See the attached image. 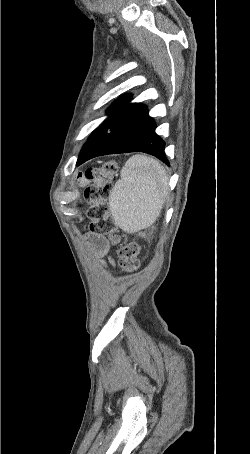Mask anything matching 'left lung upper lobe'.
<instances>
[{
	"label": "left lung upper lobe",
	"mask_w": 250,
	"mask_h": 454,
	"mask_svg": "<svg viewBox=\"0 0 250 454\" xmlns=\"http://www.w3.org/2000/svg\"><path fill=\"white\" fill-rule=\"evenodd\" d=\"M131 97H132V95L126 94V95H123L122 97H120L119 99H117L113 103V105L108 109L109 114H112L114 111H116L122 105H124ZM85 148H86V146H84L82 148L81 153L84 151Z\"/></svg>",
	"instance_id": "1"
}]
</instances>
